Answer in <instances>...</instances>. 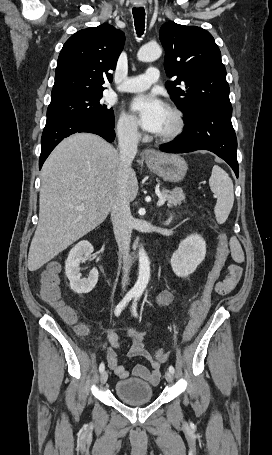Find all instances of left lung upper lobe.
<instances>
[{
  "label": "left lung upper lobe",
  "mask_w": 272,
  "mask_h": 455,
  "mask_svg": "<svg viewBox=\"0 0 272 455\" xmlns=\"http://www.w3.org/2000/svg\"><path fill=\"white\" fill-rule=\"evenodd\" d=\"M159 35L165 48V71L177 77L166 82V88L185 120L208 107L231 106L221 52L208 31L167 22Z\"/></svg>",
  "instance_id": "obj_1"
}]
</instances>
